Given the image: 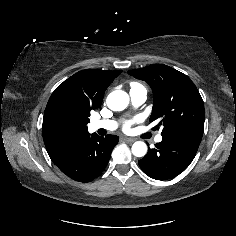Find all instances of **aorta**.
Masks as SVG:
<instances>
[{"instance_id":"762f6f07","label":"aorta","mask_w":236,"mask_h":236,"mask_svg":"<svg viewBox=\"0 0 236 236\" xmlns=\"http://www.w3.org/2000/svg\"><path fill=\"white\" fill-rule=\"evenodd\" d=\"M107 106L113 111H122L129 104V95L122 90L111 92L106 99ZM132 153L136 157H143L147 153V146L142 141H137L132 145Z\"/></svg>"}]
</instances>
